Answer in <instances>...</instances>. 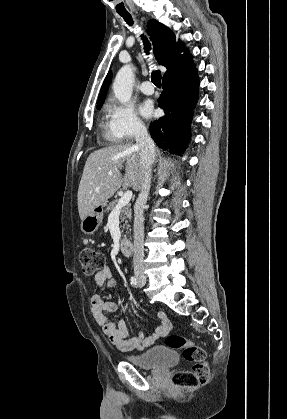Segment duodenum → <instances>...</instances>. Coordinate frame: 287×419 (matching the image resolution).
I'll use <instances>...</instances> for the list:
<instances>
[{
	"label": "duodenum",
	"mask_w": 287,
	"mask_h": 419,
	"mask_svg": "<svg viewBox=\"0 0 287 419\" xmlns=\"http://www.w3.org/2000/svg\"><path fill=\"white\" fill-rule=\"evenodd\" d=\"M120 251L125 256H131L133 253V243L128 238H122L120 241Z\"/></svg>",
	"instance_id": "1"
}]
</instances>
